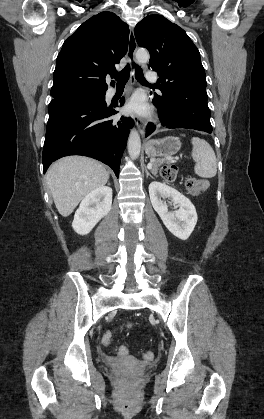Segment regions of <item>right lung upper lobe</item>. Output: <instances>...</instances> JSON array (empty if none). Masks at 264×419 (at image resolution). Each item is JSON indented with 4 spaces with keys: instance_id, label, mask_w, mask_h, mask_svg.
<instances>
[{
    "instance_id": "right-lung-upper-lobe-1",
    "label": "right lung upper lobe",
    "mask_w": 264,
    "mask_h": 419,
    "mask_svg": "<svg viewBox=\"0 0 264 419\" xmlns=\"http://www.w3.org/2000/svg\"><path fill=\"white\" fill-rule=\"evenodd\" d=\"M129 33L128 25L112 12H101L84 22L57 56L51 96L107 90L105 77L116 71L115 65L127 53Z\"/></svg>"
}]
</instances>
